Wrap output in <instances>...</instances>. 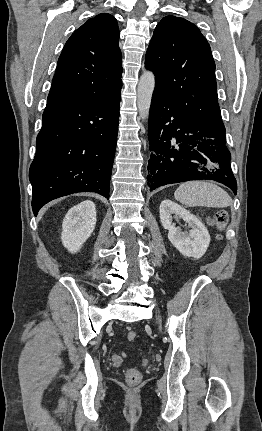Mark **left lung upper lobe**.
<instances>
[{"mask_svg":"<svg viewBox=\"0 0 262 431\" xmlns=\"http://www.w3.org/2000/svg\"><path fill=\"white\" fill-rule=\"evenodd\" d=\"M156 76L155 90L196 124L224 126L217 100L215 62L200 30L184 18L164 17L156 26L145 57Z\"/></svg>","mask_w":262,"mask_h":431,"instance_id":"5c2ea615","label":"left lung upper lobe"}]
</instances>
